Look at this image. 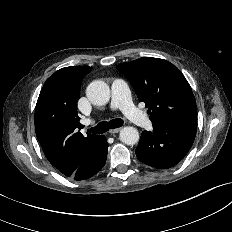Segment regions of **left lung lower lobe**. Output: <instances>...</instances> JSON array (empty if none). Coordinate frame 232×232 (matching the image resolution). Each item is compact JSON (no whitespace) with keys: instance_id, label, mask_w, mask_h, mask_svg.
Listing matches in <instances>:
<instances>
[{"instance_id":"obj_1","label":"left lung lower lobe","mask_w":232,"mask_h":232,"mask_svg":"<svg viewBox=\"0 0 232 232\" xmlns=\"http://www.w3.org/2000/svg\"><path fill=\"white\" fill-rule=\"evenodd\" d=\"M196 135V128L175 125H154L143 131L136 148V156L156 169L177 165L188 153Z\"/></svg>"}]
</instances>
